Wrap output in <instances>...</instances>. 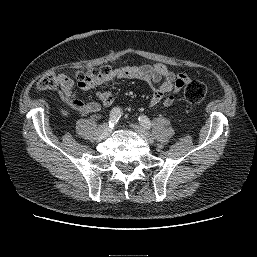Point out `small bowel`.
Here are the masks:
<instances>
[{
	"instance_id": "obj_1",
	"label": "small bowel",
	"mask_w": 257,
	"mask_h": 257,
	"mask_svg": "<svg viewBox=\"0 0 257 257\" xmlns=\"http://www.w3.org/2000/svg\"><path fill=\"white\" fill-rule=\"evenodd\" d=\"M124 79H138L146 83L153 91L149 105L155 106L162 103L165 107L173 104L175 96L190 81L186 73L173 72L163 64L138 63L112 69L106 76L93 83L78 84L81 91H90L101 87L96 91L99 102L82 101L74 90V81L64 74L57 76V92L70 109L83 114H95L99 112L101 106L109 107L114 102V95L106 86L115 80Z\"/></svg>"
}]
</instances>
